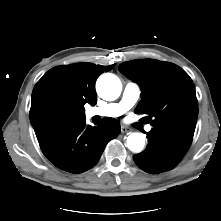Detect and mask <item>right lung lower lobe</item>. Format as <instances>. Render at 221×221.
Returning <instances> with one entry per match:
<instances>
[{"label": "right lung lower lobe", "mask_w": 221, "mask_h": 221, "mask_svg": "<svg viewBox=\"0 0 221 221\" xmlns=\"http://www.w3.org/2000/svg\"><path fill=\"white\" fill-rule=\"evenodd\" d=\"M120 132L119 123L105 118L97 126L86 125L85 119L64 123L39 139L44 155L58 168L82 173L100 159L106 144Z\"/></svg>", "instance_id": "1"}]
</instances>
